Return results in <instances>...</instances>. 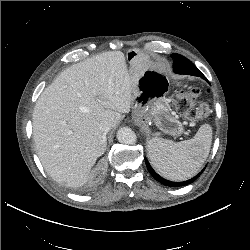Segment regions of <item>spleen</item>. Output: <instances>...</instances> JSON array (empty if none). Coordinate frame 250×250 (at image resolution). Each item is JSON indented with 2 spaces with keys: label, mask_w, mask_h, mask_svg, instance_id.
Masks as SVG:
<instances>
[{
  "label": "spleen",
  "mask_w": 250,
  "mask_h": 250,
  "mask_svg": "<svg viewBox=\"0 0 250 250\" xmlns=\"http://www.w3.org/2000/svg\"><path fill=\"white\" fill-rule=\"evenodd\" d=\"M212 128L203 124L189 140L173 142L154 137L148 143V156L156 171L172 181L187 180L198 173L211 147Z\"/></svg>",
  "instance_id": "3e777b00"
}]
</instances>
